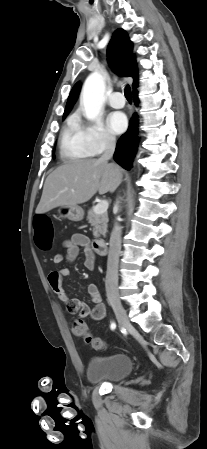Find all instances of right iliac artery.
<instances>
[{
	"label": "right iliac artery",
	"mask_w": 207,
	"mask_h": 449,
	"mask_svg": "<svg viewBox=\"0 0 207 449\" xmlns=\"http://www.w3.org/2000/svg\"><path fill=\"white\" fill-rule=\"evenodd\" d=\"M110 327H111L112 330H114L116 328V323L112 322Z\"/></svg>",
	"instance_id": "obj_1"
}]
</instances>
